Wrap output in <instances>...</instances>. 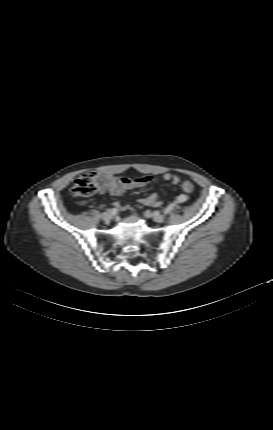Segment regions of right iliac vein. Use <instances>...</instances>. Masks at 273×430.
Wrapping results in <instances>:
<instances>
[{"label":"right iliac vein","instance_id":"obj_1","mask_svg":"<svg viewBox=\"0 0 273 430\" xmlns=\"http://www.w3.org/2000/svg\"><path fill=\"white\" fill-rule=\"evenodd\" d=\"M101 218L105 222H109L113 218L112 211L110 210V211H106V212L102 213Z\"/></svg>","mask_w":273,"mask_h":430}]
</instances>
